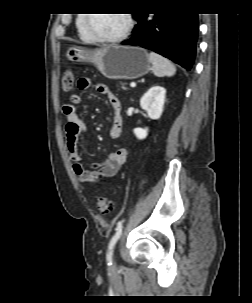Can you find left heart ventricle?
<instances>
[{
  "mask_svg": "<svg viewBox=\"0 0 252 303\" xmlns=\"http://www.w3.org/2000/svg\"><path fill=\"white\" fill-rule=\"evenodd\" d=\"M89 29L101 36H114L121 33L127 19L124 14H92Z\"/></svg>",
  "mask_w": 252,
  "mask_h": 303,
  "instance_id": "b2bd125f",
  "label": "left heart ventricle"
}]
</instances>
